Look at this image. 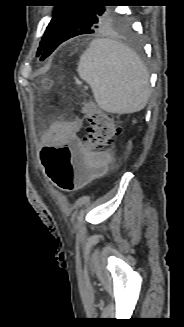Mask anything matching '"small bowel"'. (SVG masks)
<instances>
[{
  "mask_svg": "<svg viewBox=\"0 0 184 327\" xmlns=\"http://www.w3.org/2000/svg\"><path fill=\"white\" fill-rule=\"evenodd\" d=\"M84 127V122L81 118H77L73 121H57L54 122L44 135V143H58L59 148H67V146L72 145L76 142L82 133ZM96 157V156H92ZM48 165V164H44ZM89 165H99V172H89L87 179L99 176L102 174L109 165V159L107 164H89Z\"/></svg>",
  "mask_w": 184,
  "mask_h": 327,
  "instance_id": "obj_1",
  "label": "small bowel"
}]
</instances>
